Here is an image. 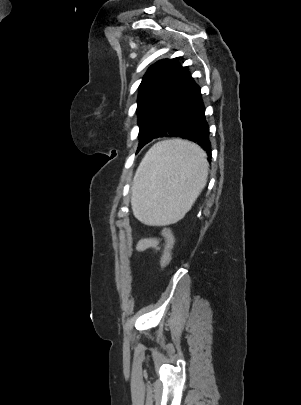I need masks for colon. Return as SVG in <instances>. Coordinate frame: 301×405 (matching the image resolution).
Listing matches in <instances>:
<instances>
[{
  "instance_id": "5ec220e1",
  "label": "colon",
  "mask_w": 301,
  "mask_h": 405,
  "mask_svg": "<svg viewBox=\"0 0 301 405\" xmlns=\"http://www.w3.org/2000/svg\"><path fill=\"white\" fill-rule=\"evenodd\" d=\"M162 235L165 239V246L161 257L160 266L161 269L164 270L170 264L175 239L172 231L167 227L162 230Z\"/></svg>"
}]
</instances>
